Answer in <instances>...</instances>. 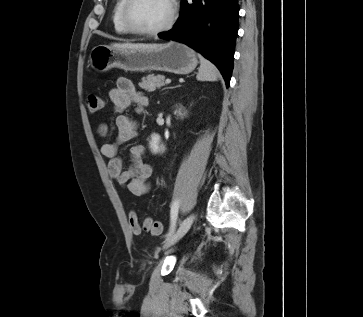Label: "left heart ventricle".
Masks as SVG:
<instances>
[{"label":"left heart ventricle","instance_id":"1","mask_svg":"<svg viewBox=\"0 0 363 317\" xmlns=\"http://www.w3.org/2000/svg\"><path fill=\"white\" fill-rule=\"evenodd\" d=\"M170 14L168 0H136L131 20L140 29L153 30L162 26Z\"/></svg>","mask_w":363,"mask_h":317}]
</instances>
